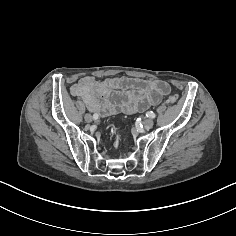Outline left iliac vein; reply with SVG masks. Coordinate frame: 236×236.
<instances>
[{
  "label": "left iliac vein",
  "mask_w": 236,
  "mask_h": 236,
  "mask_svg": "<svg viewBox=\"0 0 236 236\" xmlns=\"http://www.w3.org/2000/svg\"><path fill=\"white\" fill-rule=\"evenodd\" d=\"M154 125V121L152 119H146L144 122H143V126L146 128V129H150L152 128Z\"/></svg>",
  "instance_id": "left-iliac-vein-1"
}]
</instances>
